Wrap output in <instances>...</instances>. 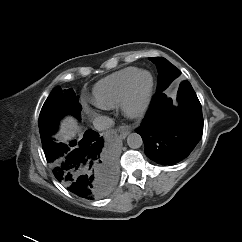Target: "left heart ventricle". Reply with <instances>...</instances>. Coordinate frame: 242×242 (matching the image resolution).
<instances>
[{
	"label": "left heart ventricle",
	"instance_id": "left-heart-ventricle-1",
	"mask_svg": "<svg viewBox=\"0 0 242 242\" xmlns=\"http://www.w3.org/2000/svg\"><path fill=\"white\" fill-rule=\"evenodd\" d=\"M149 82V77L147 74H142L138 77L135 87L136 97H140Z\"/></svg>",
	"mask_w": 242,
	"mask_h": 242
}]
</instances>
